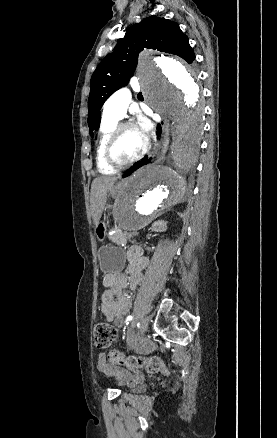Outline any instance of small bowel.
Wrapping results in <instances>:
<instances>
[{
	"mask_svg": "<svg viewBox=\"0 0 277 438\" xmlns=\"http://www.w3.org/2000/svg\"><path fill=\"white\" fill-rule=\"evenodd\" d=\"M128 265L126 273H109L102 280L105 288L101 296L100 311L105 318L117 327H122L125 315L130 311L132 301L125 295V290L133 291L143 280L142 271L148 265V259L142 255L137 246L127 252ZM105 355L97 360V370L112 377L120 384H132L139 379L137 373L126 372L125 368H115L114 363H108Z\"/></svg>",
	"mask_w": 277,
	"mask_h": 438,
	"instance_id": "c3829d8e",
	"label": "small bowel"
}]
</instances>
